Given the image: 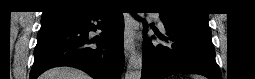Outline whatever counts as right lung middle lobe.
<instances>
[{"instance_id":"1","label":"right lung middle lobe","mask_w":255,"mask_h":79,"mask_svg":"<svg viewBox=\"0 0 255 79\" xmlns=\"http://www.w3.org/2000/svg\"><path fill=\"white\" fill-rule=\"evenodd\" d=\"M67 16H70V14L62 13V14H59V15L42 18L41 22L46 23V22L54 21V20L64 18V17H67Z\"/></svg>"}]
</instances>
